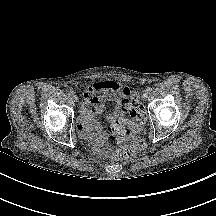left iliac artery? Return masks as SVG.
<instances>
[{"label":"left iliac artery","mask_w":216,"mask_h":216,"mask_svg":"<svg viewBox=\"0 0 216 216\" xmlns=\"http://www.w3.org/2000/svg\"><path fill=\"white\" fill-rule=\"evenodd\" d=\"M153 88L152 87H147L146 91L147 92H152Z\"/></svg>","instance_id":"obj_1"}]
</instances>
